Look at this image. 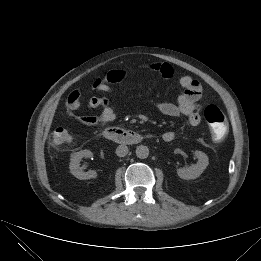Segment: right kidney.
Returning <instances> with one entry per match:
<instances>
[{"label": "right kidney", "instance_id": "ca27d5eb", "mask_svg": "<svg viewBox=\"0 0 261 261\" xmlns=\"http://www.w3.org/2000/svg\"><path fill=\"white\" fill-rule=\"evenodd\" d=\"M92 152L90 150H81L79 152L73 153L71 155V162L69 165L70 172L80 180L92 179L97 177V173L94 170H89L88 172H83L82 167H80V161L84 157H91Z\"/></svg>", "mask_w": 261, "mask_h": 261}]
</instances>
